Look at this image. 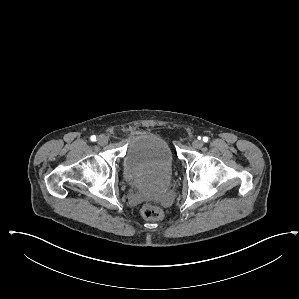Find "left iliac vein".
<instances>
[{"label":"left iliac vein","instance_id":"left-iliac-vein-1","mask_svg":"<svg viewBox=\"0 0 299 299\" xmlns=\"http://www.w3.org/2000/svg\"><path fill=\"white\" fill-rule=\"evenodd\" d=\"M192 146L195 148V149H200L203 147V142L199 139H196L192 142Z\"/></svg>","mask_w":299,"mask_h":299}]
</instances>
